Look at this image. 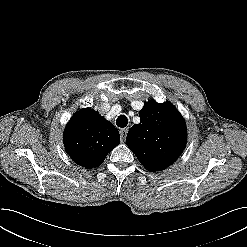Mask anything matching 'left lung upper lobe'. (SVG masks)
I'll list each match as a JSON object with an SVG mask.
<instances>
[{
	"label": "left lung upper lobe",
	"instance_id": "5c2ea615",
	"mask_svg": "<svg viewBox=\"0 0 247 247\" xmlns=\"http://www.w3.org/2000/svg\"><path fill=\"white\" fill-rule=\"evenodd\" d=\"M139 116L141 122L128 131L127 146L148 170H163L186 146L185 121L171 103L154 100L144 104Z\"/></svg>",
	"mask_w": 247,
	"mask_h": 247
}]
</instances>
